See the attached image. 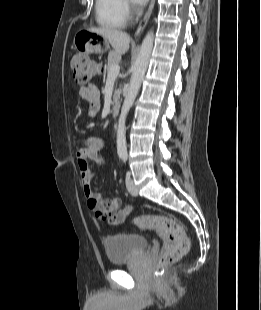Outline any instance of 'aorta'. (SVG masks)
<instances>
[{"label":"aorta","instance_id":"aorta-1","mask_svg":"<svg viewBox=\"0 0 261 310\" xmlns=\"http://www.w3.org/2000/svg\"><path fill=\"white\" fill-rule=\"evenodd\" d=\"M153 39H154V33L151 30L145 36L141 44L139 54L133 66L129 88L121 108V113L119 116L117 126L116 143H117V153L119 156L127 155L126 125H125L126 117L136 99L142 80L146 73L150 56L152 53Z\"/></svg>","mask_w":261,"mask_h":310}]
</instances>
